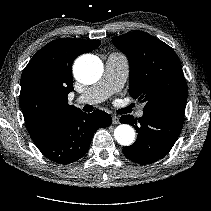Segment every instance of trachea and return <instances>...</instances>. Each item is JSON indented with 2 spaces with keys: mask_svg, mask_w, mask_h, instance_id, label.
Returning a JSON list of instances; mask_svg holds the SVG:
<instances>
[{
  "mask_svg": "<svg viewBox=\"0 0 211 211\" xmlns=\"http://www.w3.org/2000/svg\"><path fill=\"white\" fill-rule=\"evenodd\" d=\"M84 111L91 112V111H92V106L86 105V106L84 107Z\"/></svg>",
  "mask_w": 211,
  "mask_h": 211,
  "instance_id": "trachea-1",
  "label": "trachea"
}]
</instances>
